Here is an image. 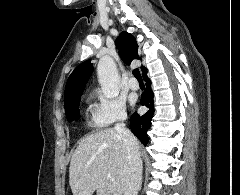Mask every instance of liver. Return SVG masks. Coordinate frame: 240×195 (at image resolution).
Wrapping results in <instances>:
<instances>
[{
    "label": "liver",
    "mask_w": 240,
    "mask_h": 195,
    "mask_svg": "<svg viewBox=\"0 0 240 195\" xmlns=\"http://www.w3.org/2000/svg\"><path fill=\"white\" fill-rule=\"evenodd\" d=\"M128 151L114 127L89 133L79 141L70 161L73 195L123 193L129 175Z\"/></svg>",
    "instance_id": "liver-1"
}]
</instances>
